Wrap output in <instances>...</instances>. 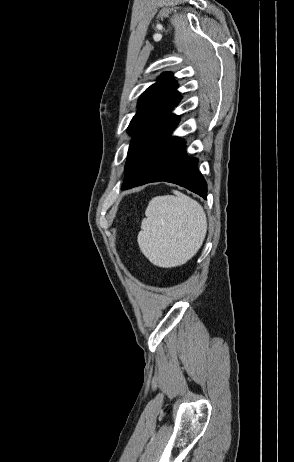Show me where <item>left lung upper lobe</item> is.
I'll return each mask as SVG.
<instances>
[{
	"mask_svg": "<svg viewBox=\"0 0 294 462\" xmlns=\"http://www.w3.org/2000/svg\"><path fill=\"white\" fill-rule=\"evenodd\" d=\"M172 73L166 72L155 84L150 86L140 97L138 103V111L133 117L128 127V132L133 135L130 148L138 136L140 130L145 124L147 116L154 107H166L178 102L181 99L179 92L175 89L177 83L174 81Z\"/></svg>",
	"mask_w": 294,
	"mask_h": 462,
	"instance_id": "left-lung-upper-lobe-1",
	"label": "left lung upper lobe"
}]
</instances>
